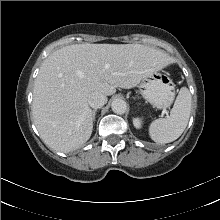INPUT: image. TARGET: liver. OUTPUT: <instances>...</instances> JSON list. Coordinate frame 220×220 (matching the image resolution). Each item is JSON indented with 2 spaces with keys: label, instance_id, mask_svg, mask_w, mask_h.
<instances>
[{
  "label": "liver",
  "instance_id": "6515ba94",
  "mask_svg": "<svg viewBox=\"0 0 220 220\" xmlns=\"http://www.w3.org/2000/svg\"><path fill=\"white\" fill-rule=\"evenodd\" d=\"M173 63L161 50L141 44H73L42 63L33 89L32 114L43 142L69 152L82 146L93 129L88 96L105 97L116 87L130 89Z\"/></svg>",
  "mask_w": 220,
  "mask_h": 220
}]
</instances>
